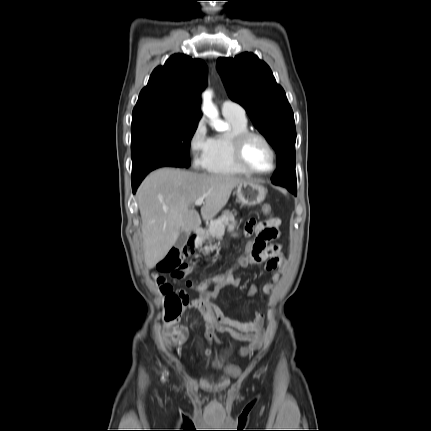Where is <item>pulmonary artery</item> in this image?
I'll return each mask as SVG.
<instances>
[{
  "label": "pulmonary artery",
  "mask_w": 431,
  "mask_h": 431,
  "mask_svg": "<svg viewBox=\"0 0 431 431\" xmlns=\"http://www.w3.org/2000/svg\"><path fill=\"white\" fill-rule=\"evenodd\" d=\"M221 112L224 116H232L243 120L246 119L244 108L231 100H225L221 104Z\"/></svg>",
  "instance_id": "obj_1"
}]
</instances>
